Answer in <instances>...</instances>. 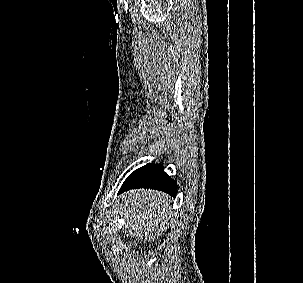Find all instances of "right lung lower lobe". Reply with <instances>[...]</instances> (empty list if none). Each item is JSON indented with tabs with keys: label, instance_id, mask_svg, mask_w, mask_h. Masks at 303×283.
Wrapping results in <instances>:
<instances>
[{
	"label": "right lung lower lobe",
	"instance_id": "1",
	"mask_svg": "<svg viewBox=\"0 0 303 283\" xmlns=\"http://www.w3.org/2000/svg\"><path fill=\"white\" fill-rule=\"evenodd\" d=\"M134 188L161 190L171 196L177 193V183L164 172L161 164H147L132 172L122 184L119 193Z\"/></svg>",
	"mask_w": 303,
	"mask_h": 283
}]
</instances>
